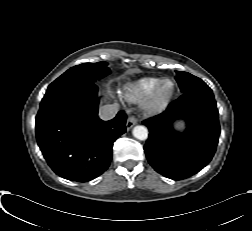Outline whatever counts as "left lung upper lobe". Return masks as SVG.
<instances>
[{"label":"left lung upper lobe","instance_id":"left-lung-upper-lobe-1","mask_svg":"<svg viewBox=\"0 0 252 231\" xmlns=\"http://www.w3.org/2000/svg\"><path fill=\"white\" fill-rule=\"evenodd\" d=\"M176 81L182 93L200 89H210L200 78L187 72L176 71Z\"/></svg>","mask_w":252,"mask_h":231}]
</instances>
